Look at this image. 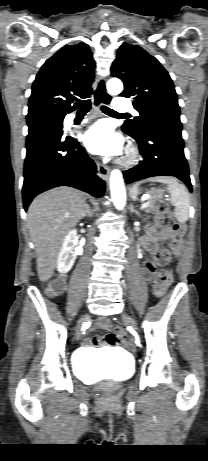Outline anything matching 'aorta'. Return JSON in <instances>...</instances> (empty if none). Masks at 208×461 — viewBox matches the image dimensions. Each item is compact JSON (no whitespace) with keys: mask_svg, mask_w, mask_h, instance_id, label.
Wrapping results in <instances>:
<instances>
[{"mask_svg":"<svg viewBox=\"0 0 208 461\" xmlns=\"http://www.w3.org/2000/svg\"><path fill=\"white\" fill-rule=\"evenodd\" d=\"M107 90L112 95H118L123 90V83L117 78H112L107 82ZM110 190L114 206L116 209L122 210L126 203V192L122 173L118 169L111 172Z\"/></svg>","mask_w":208,"mask_h":461,"instance_id":"1","label":"aorta"}]
</instances>
